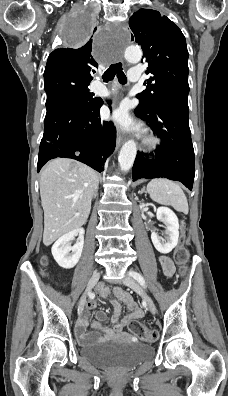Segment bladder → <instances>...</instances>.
<instances>
[{
	"label": "bladder",
	"mask_w": 228,
	"mask_h": 396,
	"mask_svg": "<svg viewBox=\"0 0 228 396\" xmlns=\"http://www.w3.org/2000/svg\"><path fill=\"white\" fill-rule=\"evenodd\" d=\"M153 354L154 349L150 345L119 340H103L80 349V355L90 363L118 370L134 368Z\"/></svg>",
	"instance_id": "1"
}]
</instances>
